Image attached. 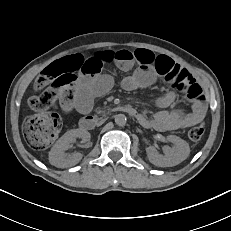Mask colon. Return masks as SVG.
<instances>
[{"label":"colon","mask_w":231,"mask_h":231,"mask_svg":"<svg viewBox=\"0 0 231 231\" xmlns=\"http://www.w3.org/2000/svg\"><path fill=\"white\" fill-rule=\"evenodd\" d=\"M75 80L70 67L57 61L45 68L37 77L35 93L29 98L30 107L39 113L30 116L24 125V136L27 143L35 150L48 148L58 136L61 129L60 117L46 110L54 107L58 101L72 98V86ZM170 82L190 99L203 98L202 90L195 79L186 71L173 73ZM205 129L198 125L191 127L188 138L198 141Z\"/></svg>","instance_id":"5ec220e1"}]
</instances>
